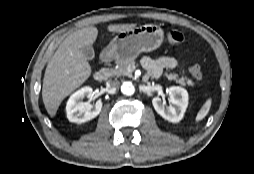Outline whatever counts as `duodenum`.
<instances>
[{
  "label": "duodenum",
  "instance_id": "1",
  "mask_svg": "<svg viewBox=\"0 0 254 174\" xmlns=\"http://www.w3.org/2000/svg\"><path fill=\"white\" fill-rule=\"evenodd\" d=\"M109 60H110L109 57H105L102 59V62L107 64ZM93 77L95 81L102 82L106 79L107 74L104 71H97L94 73Z\"/></svg>",
  "mask_w": 254,
  "mask_h": 174
}]
</instances>
